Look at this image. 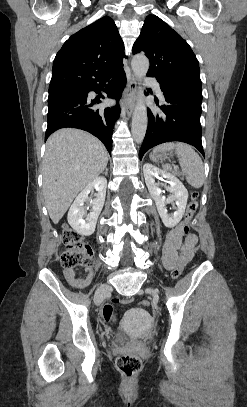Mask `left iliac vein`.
I'll return each mask as SVG.
<instances>
[{"mask_svg":"<svg viewBox=\"0 0 247 407\" xmlns=\"http://www.w3.org/2000/svg\"><path fill=\"white\" fill-rule=\"evenodd\" d=\"M149 292H151L152 294H157V290L155 288H149L148 289Z\"/></svg>","mask_w":247,"mask_h":407,"instance_id":"4c4485c4","label":"left iliac vein"}]
</instances>
